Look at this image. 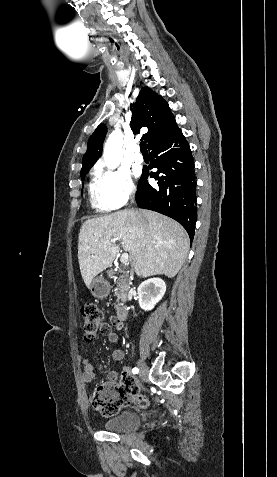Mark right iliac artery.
Segmentation results:
<instances>
[{"label":"right iliac artery","instance_id":"right-iliac-artery-1","mask_svg":"<svg viewBox=\"0 0 277 477\" xmlns=\"http://www.w3.org/2000/svg\"><path fill=\"white\" fill-rule=\"evenodd\" d=\"M132 372H133L134 374H137V373L139 372V369L135 367V368L132 369Z\"/></svg>","mask_w":277,"mask_h":477}]
</instances>
